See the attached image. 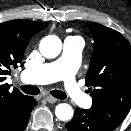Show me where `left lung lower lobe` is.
<instances>
[{
    "instance_id": "1",
    "label": "left lung lower lobe",
    "mask_w": 131,
    "mask_h": 131,
    "mask_svg": "<svg viewBox=\"0 0 131 131\" xmlns=\"http://www.w3.org/2000/svg\"><path fill=\"white\" fill-rule=\"evenodd\" d=\"M68 131H112L114 128L109 126L99 115L92 110L76 108L74 117L66 124Z\"/></svg>"
}]
</instances>
